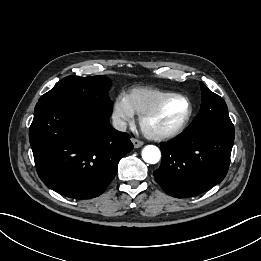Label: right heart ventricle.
<instances>
[{
    "instance_id": "e07e8e85",
    "label": "right heart ventricle",
    "mask_w": 261,
    "mask_h": 261,
    "mask_svg": "<svg viewBox=\"0 0 261 261\" xmlns=\"http://www.w3.org/2000/svg\"><path fill=\"white\" fill-rule=\"evenodd\" d=\"M171 93L150 87L132 89L127 95L134 113L141 115Z\"/></svg>"
}]
</instances>
